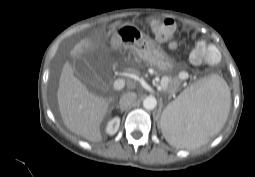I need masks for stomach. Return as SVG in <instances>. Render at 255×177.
<instances>
[{"label": "stomach", "mask_w": 255, "mask_h": 177, "mask_svg": "<svg viewBox=\"0 0 255 177\" xmlns=\"http://www.w3.org/2000/svg\"><path fill=\"white\" fill-rule=\"evenodd\" d=\"M112 45L118 49L130 50L140 59L150 63L162 72H170L174 63L155 41L145 35L135 24L125 23L113 33Z\"/></svg>", "instance_id": "stomach-1"}]
</instances>
